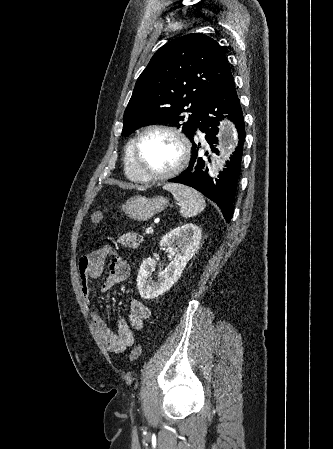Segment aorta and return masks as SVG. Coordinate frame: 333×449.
<instances>
[{"label": "aorta", "instance_id": "762f6f07", "mask_svg": "<svg viewBox=\"0 0 333 449\" xmlns=\"http://www.w3.org/2000/svg\"><path fill=\"white\" fill-rule=\"evenodd\" d=\"M221 150L228 152L235 147L236 144V132L233 126H226L220 135Z\"/></svg>", "mask_w": 333, "mask_h": 449}]
</instances>
